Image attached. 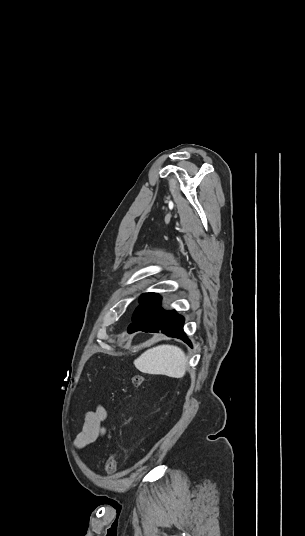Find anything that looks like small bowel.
<instances>
[{"instance_id":"small-bowel-1","label":"small bowel","mask_w":305,"mask_h":536,"mask_svg":"<svg viewBox=\"0 0 305 536\" xmlns=\"http://www.w3.org/2000/svg\"><path fill=\"white\" fill-rule=\"evenodd\" d=\"M106 418V411L102 407L88 411L84 416L81 432L78 434L75 444L78 448H84L97 440L105 433L103 421Z\"/></svg>"}]
</instances>
